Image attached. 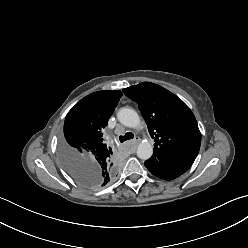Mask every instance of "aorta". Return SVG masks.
Here are the masks:
<instances>
[{
	"mask_svg": "<svg viewBox=\"0 0 248 248\" xmlns=\"http://www.w3.org/2000/svg\"><path fill=\"white\" fill-rule=\"evenodd\" d=\"M118 121L126 127L137 128L140 125V117L132 108H121L117 113ZM153 154V146L148 141H142L137 148V156L142 160L149 159Z\"/></svg>",
	"mask_w": 248,
	"mask_h": 248,
	"instance_id": "1",
	"label": "aorta"
}]
</instances>
